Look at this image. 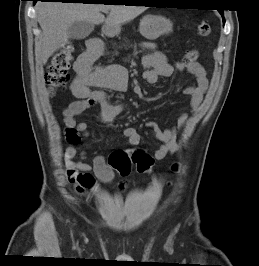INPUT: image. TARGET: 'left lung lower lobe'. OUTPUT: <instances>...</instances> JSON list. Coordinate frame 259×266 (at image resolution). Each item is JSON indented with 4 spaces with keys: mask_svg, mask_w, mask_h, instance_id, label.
<instances>
[{
    "mask_svg": "<svg viewBox=\"0 0 259 266\" xmlns=\"http://www.w3.org/2000/svg\"><path fill=\"white\" fill-rule=\"evenodd\" d=\"M220 11V13H221V15H223V10H219ZM225 23V20H224V18H223V24Z\"/></svg>",
    "mask_w": 259,
    "mask_h": 266,
    "instance_id": "1",
    "label": "left lung lower lobe"
}]
</instances>
